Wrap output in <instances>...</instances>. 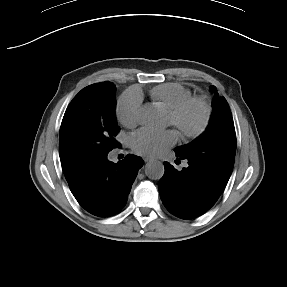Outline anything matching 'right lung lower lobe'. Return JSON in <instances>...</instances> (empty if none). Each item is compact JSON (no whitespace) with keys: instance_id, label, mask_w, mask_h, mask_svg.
I'll use <instances>...</instances> for the list:
<instances>
[{"instance_id":"1","label":"right lung lower lobe","mask_w":287,"mask_h":287,"mask_svg":"<svg viewBox=\"0 0 287 287\" xmlns=\"http://www.w3.org/2000/svg\"><path fill=\"white\" fill-rule=\"evenodd\" d=\"M143 160L128 154L118 163L107 154L80 166L66 179L78 203L89 213L108 217L117 214L127 202L131 186Z\"/></svg>"}]
</instances>
